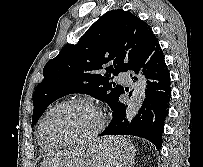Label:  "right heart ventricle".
I'll return each mask as SVG.
<instances>
[{
    "label": "right heart ventricle",
    "instance_id": "obj_1",
    "mask_svg": "<svg viewBox=\"0 0 203 167\" xmlns=\"http://www.w3.org/2000/svg\"><path fill=\"white\" fill-rule=\"evenodd\" d=\"M45 147H47V148H52V147H50V146H45Z\"/></svg>",
    "mask_w": 203,
    "mask_h": 167
}]
</instances>
